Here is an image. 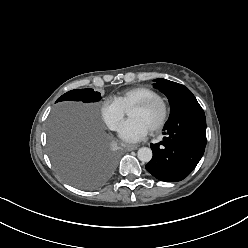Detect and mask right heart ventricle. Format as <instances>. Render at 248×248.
<instances>
[{
  "label": "right heart ventricle",
  "mask_w": 248,
  "mask_h": 248,
  "mask_svg": "<svg viewBox=\"0 0 248 248\" xmlns=\"http://www.w3.org/2000/svg\"><path fill=\"white\" fill-rule=\"evenodd\" d=\"M154 95H157V93L152 88L137 86L122 91L115 95L112 100L115 101L124 111H127L135 103Z\"/></svg>",
  "instance_id": "e07e8e85"
}]
</instances>
